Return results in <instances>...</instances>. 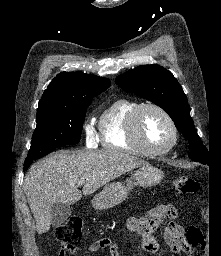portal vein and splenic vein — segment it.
<instances>
[{"mask_svg": "<svg viewBox=\"0 0 221 256\" xmlns=\"http://www.w3.org/2000/svg\"><path fill=\"white\" fill-rule=\"evenodd\" d=\"M83 183H84L83 181H80V182L78 183V185H83Z\"/></svg>", "mask_w": 221, "mask_h": 256, "instance_id": "1", "label": "portal vein and splenic vein"}]
</instances>
